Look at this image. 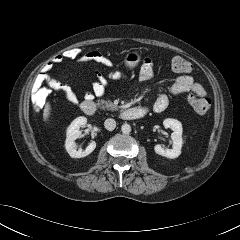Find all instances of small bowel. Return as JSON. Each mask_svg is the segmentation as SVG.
Wrapping results in <instances>:
<instances>
[{"label": "small bowel", "mask_w": 240, "mask_h": 240, "mask_svg": "<svg viewBox=\"0 0 240 240\" xmlns=\"http://www.w3.org/2000/svg\"><path fill=\"white\" fill-rule=\"evenodd\" d=\"M83 61L84 63L96 62L109 69L113 67V62L101 52L96 50L87 52ZM62 62L63 59L59 54L49 60L36 75L32 85V92H37L43 84H47L51 88L62 92L68 102L72 104H78V99L72 89L68 85L57 81L50 75V72L54 66ZM152 77L153 61L150 58H145L140 68L139 80L145 82L150 80ZM124 79L125 75L121 71L108 70L106 74L96 71L95 80L92 83V91H87L84 95V98L86 100H92L94 96L102 97L106 92L109 80L121 82ZM187 92H192L201 97L206 96V91L203 86L197 83L192 76L181 75L171 85L168 94L161 93L156 97L151 109L156 113L163 112L168 107L169 95L178 96ZM145 110H147V108Z\"/></svg>", "instance_id": "c3829d8e"}]
</instances>
